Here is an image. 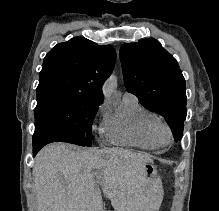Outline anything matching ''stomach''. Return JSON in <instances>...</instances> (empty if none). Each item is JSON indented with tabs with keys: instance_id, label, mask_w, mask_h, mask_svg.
Wrapping results in <instances>:
<instances>
[{
	"instance_id": "0dacf381",
	"label": "stomach",
	"mask_w": 219,
	"mask_h": 211,
	"mask_svg": "<svg viewBox=\"0 0 219 211\" xmlns=\"http://www.w3.org/2000/svg\"><path fill=\"white\" fill-rule=\"evenodd\" d=\"M144 173L146 177H155L157 175V169L153 163H146L144 165Z\"/></svg>"
}]
</instances>
